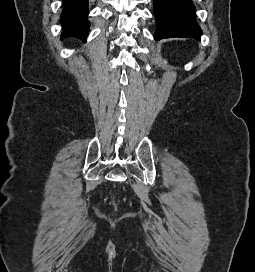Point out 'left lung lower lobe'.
<instances>
[{
	"instance_id": "left-lung-lower-lobe-1",
	"label": "left lung lower lobe",
	"mask_w": 255,
	"mask_h": 272,
	"mask_svg": "<svg viewBox=\"0 0 255 272\" xmlns=\"http://www.w3.org/2000/svg\"><path fill=\"white\" fill-rule=\"evenodd\" d=\"M157 40L172 37L200 39L202 31L196 22L191 0H153Z\"/></svg>"
}]
</instances>
